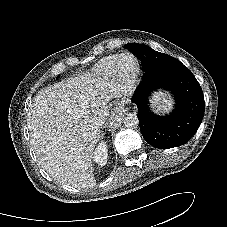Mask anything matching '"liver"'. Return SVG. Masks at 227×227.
<instances>
[{"label": "liver", "instance_id": "1", "mask_svg": "<svg viewBox=\"0 0 227 227\" xmlns=\"http://www.w3.org/2000/svg\"><path fill=\"white\" fill-rule=\"evenodd\" d=\"M115 94L105 79L86 75L50 85L35 96L27 114L30 142L54 180L78 189L96 185L94 148Z\"/></svg>", "mask_w": 227, "mask_h": 227}]
</instances>
